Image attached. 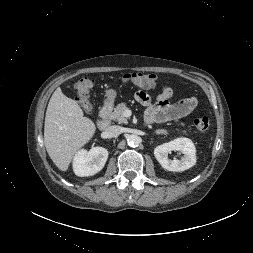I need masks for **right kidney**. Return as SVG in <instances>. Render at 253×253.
<instances>
[{
	"label": "right kidney",
	"instance_id": "right-kidney-1",
	"mask_svg": "<svg viewBox=\"0 0 253 253\" xmlns=\"http://www.w3.org/2000/svg\"><path fill=\"white\" fill-rule=\"evenodd\" d=\"M108 159V151L103 147H94L90 151H78L73 159L74 173L79 177L92 176L102 170Z\"/></svg>",
	"mask_w": 253,
	"mask_h": 253
}]
</instances>
